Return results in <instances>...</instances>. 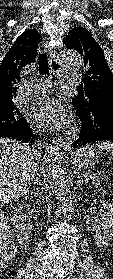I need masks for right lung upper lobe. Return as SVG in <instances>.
<instances>
[{"instance_id":"right-lung-upper-lobe-1","label":"right lung upper lobe","mask_w":113,"mask_h":279,"mask_svg":"<svg viewBox=\"0 0 113 279\" xmlns=\"http://www.w3.org/2000/svg\"><path fill=\"white\" fill-rule=\"evenodd\" d=\"M36 30L23 32L9 49L0 65V108L14 103L15 83L20 80V72L34 61L40 41Z\"/></svg>"}]
</instances>
